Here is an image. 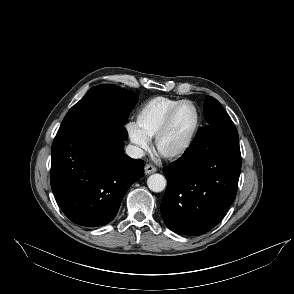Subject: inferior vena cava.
Here are the masks:
<instances>
[{"instance_id": "obj_1", "label": "inferior vena cava", "mask_w": 294, "mask_h": 294, "mask_svg": "<svg viewBox=\"0 0 294 294\" xmlns=\"http://www.w3.org/2000/svg\"><path fill=\"white\" fill-rule=\"evenodd\" d=\"M126 154L133 159H139L144 156V151L138 146L128 145L126 147Z\"/></svg>"}]
</instances>
